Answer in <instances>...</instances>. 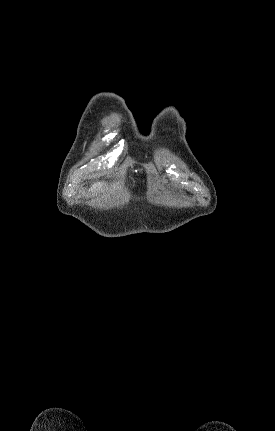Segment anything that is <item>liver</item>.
Here are the masks:
<instances>
[{
  "label": "liver",
  "mask_w": 275,
  "mask_h": 431,
  "mask_svg": "<svg viewBox=\"0 0 275 431\" xmlns=\"http://www.w3.org/2000/svg\"><path fill=\"white\" fill-rule=\"evenodd\" d=\"M103 186H104V183L97 182L91 187L90 191H92L93 193H98L99 191L103 190Z\"/></svg>",
  "instance_id": "6515ba94"
}]
</instances>
